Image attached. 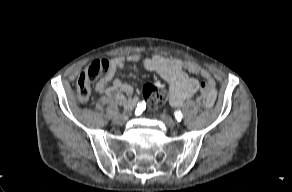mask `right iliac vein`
<instances>
[{"mask_svg":"<svg viewBox=\"0 0 292 192\" xmlns=\"http://www.w3.org/2000/svg\"><path fill=\"white\" fill-rule=\"evenodd\" d=\"M125 121H126V118H123V117H115L114 119H113V122L115 123V124H117V125H123L124 123H125Z\"/></svg>","mask_w":292,"mask_h":192,"instance_id":"obj_1","label":"right iliac vein"}]
</instances>
